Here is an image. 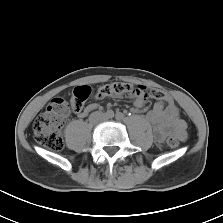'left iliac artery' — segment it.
I'll return each instance as SVG.
<instances>
[{
	"label": "left iliac artery",
	"instance_id": "1",
	"mask_svg": "<svg viewBox=\"0 0 223 223\" xmlns=\"http://www.w3.org/2000/svg\"><path fill=\"white\" fill-rule=\"evenodd\" d=\"M115 118H116L117 120H122V119L124 118V115H123L122 113L118 112V113L116 114Z\"/></svg>",
	"mask_w": 223,
	"mask_h": 223
}]
</instances>
